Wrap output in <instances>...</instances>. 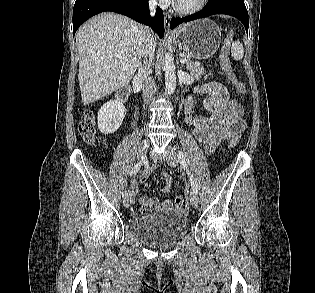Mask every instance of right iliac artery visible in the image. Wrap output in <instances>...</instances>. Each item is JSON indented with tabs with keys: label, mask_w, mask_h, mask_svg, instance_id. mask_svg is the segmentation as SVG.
<instances>
[{
	"label": "right iliac artery",
	"mask_w": 315,
	"mask_h": 293,
	"mask_svg": "<svg viewBox=\"0 0 315 293\" xmlns=\"http://www.w3.org/2000/svg\"><path fill=\"white\" fill-rule=\"evenodd\" d=\"M140 166H141V162H138L132 169L131 171V176H134L138 173L139 169H140ZM123 198H126L128 196V192L125 190L122 194Z\"/></svg>",
	"instance_id": "right-iliac-artery-1"
}]
</instances>
